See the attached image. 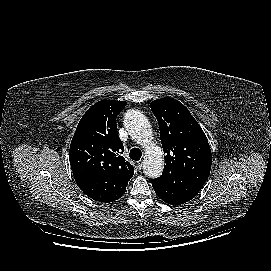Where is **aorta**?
I'll list each match as a JSON object with an SVG mask.
<instances>
[{
  "label": "aorta",
  "instance_id": "obj_1",
  "mask_svg": "<svg viewBox=\"0 0 271 271\" xmlns=\"http://www.w3.org/2000/svg\"><path fill=\"white\" fill-rule=\"evenodd\" d=\"M124 125L131 138L145 148L143 172L149 178H157L164 167L162 149L152 143L153 134L151 125L138 110H128L124 115Z\"/></svg>",
  "mask_w": 271,
  "mask_h": 271
}]
</instances>
